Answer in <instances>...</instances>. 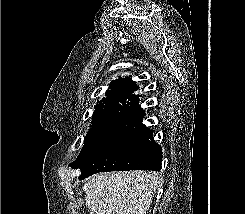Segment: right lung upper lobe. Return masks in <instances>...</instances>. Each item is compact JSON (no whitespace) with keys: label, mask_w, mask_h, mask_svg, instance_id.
<instances>
[{"label":"right lung upper lobe","mask_w":245,"mask_h":214,"mask_svg":"<svg viewBox=\"0 0 245 214\" xmlns=\"http://www.w3.org/2000/svg\"><path fill=\"white\" fill-rule=\"evenodd\" d=\"M138 88L129 77L114 80L106 97L95 106L88 134L105 135L132 128L141 118L139 97L133 94Z\"/></svg>","instance_id":"obj_1"}]
</instances>
